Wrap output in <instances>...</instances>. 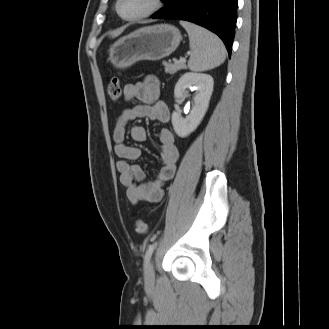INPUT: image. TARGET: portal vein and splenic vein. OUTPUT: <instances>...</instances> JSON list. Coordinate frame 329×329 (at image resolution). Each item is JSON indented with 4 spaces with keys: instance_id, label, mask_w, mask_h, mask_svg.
<instances>
[{
    "instance_id": "18ae733b",
    "label": "portal vein and splenic vein",
    "mask_w": 329,
    "mask_h": 329,
    "mask_svg": "<svg viewBox=\"0 0 329 329\" xmlns=\"http://www.w3.org/2000/svg\"><path fill=\"white\" fill-rule=\"evenodd\" d=\"M179 61L182 62V63H185L186 59L184 57H180Z\"/></svg>"
}]
</instances>
